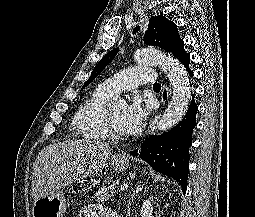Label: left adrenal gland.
<instances>
[{
  "instance_id": "left-adrenal-gland-1",
  "label": "left adrenal gland",
  "mask_w": 255,
  "mask_h": 217,
  "mask_svg": "<svg viewBox=\"0 0 255 217\" xmlns=\"http://www.w3.org/2000/svg\"><path fill=\"white\" fill-rule=\"evenodd\" d=\"M143 189V187L141 186V182H138V184L135 185L134 190L132 191V193L129 196V202L127 205V214L128 216L130 215V206H131V200L134 198V196L136 194H138L141 190Z\"/></svg>"
}]
</instances>
